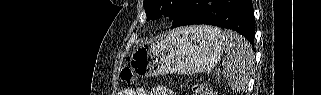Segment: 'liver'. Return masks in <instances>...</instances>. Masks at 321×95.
<instances>
[{"label": "liver", "mask_w": 321, "mask_h": 95, "mask_svg": "<svg viewBox=\"0 0 321 95\" xmlns=\"http://www.w3.org/2000/svg\"><path fill=\"white\" fill-rule=\"evenodd\" d=\"M190 30H194V31H199L201 32L200 30V27H188Z\"/></svg>", "instance_id": "obj_1"}]
</instances>
